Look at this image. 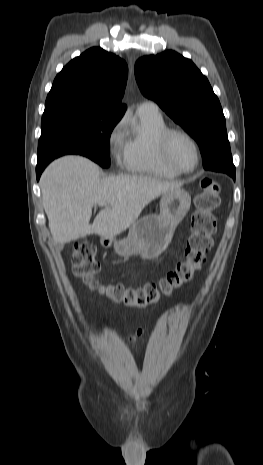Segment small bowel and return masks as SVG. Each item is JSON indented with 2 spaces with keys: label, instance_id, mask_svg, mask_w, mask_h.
I'll return each instance as SVG.
<instances>
[{
  "label": "small bowel",
  "instance_id": "obj_1",
  "mask_svg": "<svg viewBox=\"0 0 263 465\" xmlns=\"http://www.w3.org/2000/svg\"><path fill=\"white\" fill-rule=\"evenodd\" d=\"M143 333L142 329H138L134 334H132L129 338L130 344H133L138 337H140Z\"/></svg>",
  "mask_w": 263,
  "mask_h": 465
}]
</instances>
